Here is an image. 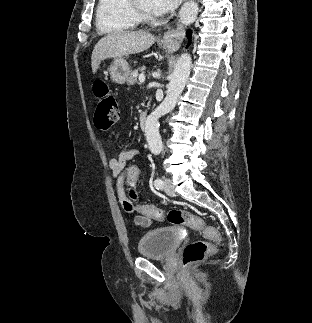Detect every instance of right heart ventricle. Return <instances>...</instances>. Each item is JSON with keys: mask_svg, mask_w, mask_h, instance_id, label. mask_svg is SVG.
Listing matches in <instances>:
<instances>
[{"mask_svg": "<svg viewBox=\"0 0 312 323\" xmlns=\"http://www.w3.org/2000/svg\"><path fill=\"white\" fill-rule=\"evenodd\" d=\"M141 13L129 9L126 1L101 0L96 1L94 25L100 33H116L117 29H133L137 20H141Z\"/></svg>", "mask_w": 312, "mask_h": 323, "instance_id": "e07e8e85", "label": "right heart ventricle"}]
</instances>
